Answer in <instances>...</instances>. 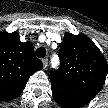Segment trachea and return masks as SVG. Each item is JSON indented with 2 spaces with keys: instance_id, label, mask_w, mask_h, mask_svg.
Segmentation results:
<instances>
[{
  "instance_id": "3493384b",
  "label": "trachea",
  "mask_w": 108,
  "mask_h": 108,
  "mask_svg": "<svg viewBox=\"0 0 108 108\" xmlns=\"http://www.w3.org/2000/svg\"><path fill=\"white\" fill-rule=\"evenodd\" d=\"M35 53H36V56L38 58H44L46 55V49L45 48H38Z\"/></svg>"
}]
</instances>
